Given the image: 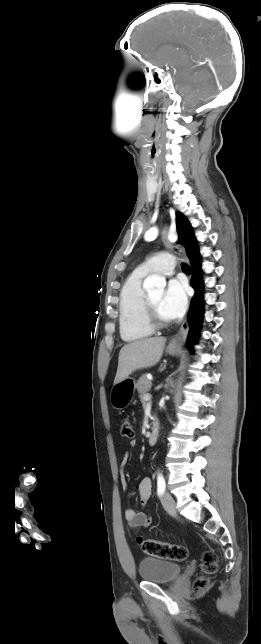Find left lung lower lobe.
I'll use <instances>...</instances> for the list:
<instances>
[{"mask_svg": "<svg viewBox=\"0 0 261 644\" xmlns=\"http://www.w3.org/2000/svg\"><path fill=\"white\" fill-rule=\"evenodd\" d=\"M190 262L193 269L191 286L196 290V294L191 300L190 309L187 315L189 322L187 347L190 351H192V347L196 343L199 336L204 313V283L202 279L201 258H194L190 260Z\"/></svg>", "mask_w": 261, "mask_h": 644, "instance_id": "left-lung-lower-lobe-1", "label": "left lung lower lobe"}]
</instances>
